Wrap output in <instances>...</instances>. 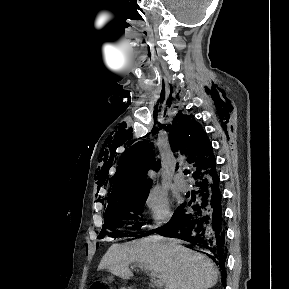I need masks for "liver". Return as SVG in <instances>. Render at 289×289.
I'll return each instance as SVG.
<instances>
[{
  "mask_svg": "<svg viewBox=\"0 0 289 289\" xmlns=\"http://www.w3.org/2000/svg\"><path fill=\"white\" fill-rule=\"evenodd\" d=\"M133 262L158 274L165 289H208L218 281L215 264L207 256L180 245L176 239L158 236L113 244L98 269L129 279V264Z\"/></svg>",
  "mask_w": 289,
  "mask_h": 289,
  "instance_id": "1",
  "label": "liver"
}]
</instances>
